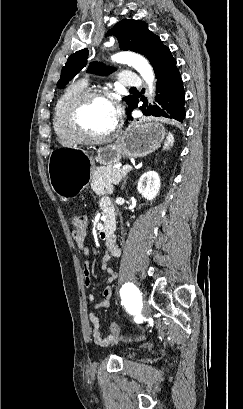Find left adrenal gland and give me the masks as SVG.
Instances as JSON below:
<instances>
[{"label":"left adrenal gland","instance_id":"obj_1","mask_svg":"<svg viewBox=\"0 0 243 409\" xmlns=\"http://www.w3.org/2000/svg\"><path fill=\"white\" fill-rule=\"evenodd\" d=\"M125 184H126V179L124 180V182H123V184H122V186H121V190L124 189Z\"/></svg>","mask_w":243,"mask_h":409}]
</instances>
